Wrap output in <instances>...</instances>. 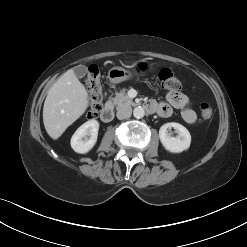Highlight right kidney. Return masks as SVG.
Wrapping results in <instances>:
<instances>
[{"label":"right kidney","mask_w":247,"mask_h":247,"mask_svg":"<svg viewBox=\"0 0 247 247\" xmlns=\"http://www.w3.org/2000/svg\"><path fill=\"white\" fill-rule=\"evenodd\" d=\"M99 122L89 120L81 125L71 138L72 149L80 154L89 152L97 142Z\"/></svg>","instance_id":"right-kidney-1"}]
</instances>
